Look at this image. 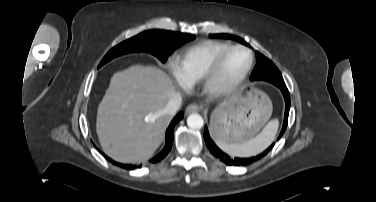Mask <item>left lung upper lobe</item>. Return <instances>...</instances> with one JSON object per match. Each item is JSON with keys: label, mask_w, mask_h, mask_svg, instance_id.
<instances>
[{"label": "left lung upper lobe", "mask_w": 376, "mask_h": 202, "mask_svg": "<svg viewBox=\"0 0 376 202\" xmlns=\"http://www.w3.org/2000/svg\"><path fill=\"white\" fill-rule=\"evenodd\" d=\"M210 37L233 39L244 45H247V43L243 39L237 36L229 35V34H214V35H210ZM256 57H257V64L251 74L252 81L253 80H266L268 82L273 83L276 86L285 85L280 71L268 58H266L259 52H256Z\"/></svg>", "instance_id": "left-lung-upper-lobe-1"}]
</instances>
